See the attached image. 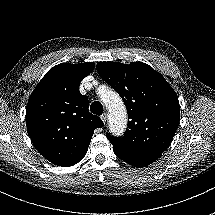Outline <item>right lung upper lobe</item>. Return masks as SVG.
I'll return each instance as SVG.
<instances>
[{"label": "right lung upper lobe", "instance_id": "1", "mask_svg": "<svg viewBox=\"0 0 215 215\" xmlns=\"http://www.w3.org/2000/svg\"><path fill=\"white\" fill-rule=\"evenodd\" d=\"M95 67L93 62L62 63L51 68L31 94L26 126L34 147L48 161L68 167L85 156L102 120L89 113V100L79 92L80 82Z\"/></svg>", "mask_w": 215, "mask_h": 215}]
</instances>
